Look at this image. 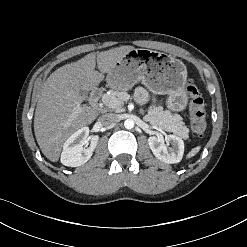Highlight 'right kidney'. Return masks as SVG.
I'll return each instance as SVG.
<instances>
[{
  "instance_id": "right-kidney-1",
  "label": "right kidney",
  "mask_w": 247,
  "mask_h": 247,
  "mask_svg": "<svg viewBox=\"0 0 247 247\" xmlns=\"http://www.w3.org/2000/svg\"><path fill=\"white\" fill-rule=\"evenodd\" d=\"M89 128L83 127L74 132L64 143L61 153V163L65 166L78 167L85 164L92 156L96 148L99 137L91 139L90 146L85 148L83 145L88 141Z\"/></svg>"
}]
</instances>
